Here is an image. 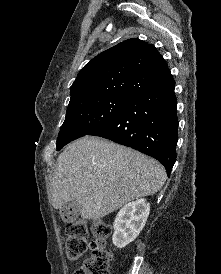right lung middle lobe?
I'll list each match as a JSON object with an SVG mask.
<instances>
[{
    "instance_id": "1",
    "label": "right lung middle lobe",
    "mask_w": 221,
    "mask_h": 274,
    "mask_svg": "<svg viewBox=\"0 0 221 274\" xmlns=\"http://www.w3.org/2000/svg\"><path fill=\"white\" fill-rule=\"evenodd\" d=\"M132 99L123 96H95L69 102L66 119L58 134L57 150L104 125Z\"/></svg>"
}]
</instances>
